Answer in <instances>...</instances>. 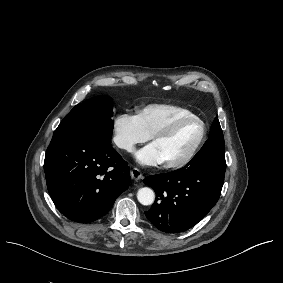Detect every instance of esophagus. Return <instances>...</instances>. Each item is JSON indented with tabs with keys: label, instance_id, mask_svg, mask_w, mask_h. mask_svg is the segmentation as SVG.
Returning a JSON list of instances; mask_svg holds the SVG:
<instances>
[{
	"label": "esophagus",
	"instance_id": "obj_1",
	"mask_svg": "<svg viewBox=\"0 0 283 283\" xmlns=\"http://www.w3.org/2000/svg\"><path fill=\"white\" fill-rule=\"evenodd\" d=\"M131 178H132L133 180H140V179L143 178V175H142V173H141V171H140L139 169L133 168V169L131 170Z\"/></svg>",
	"mask_w": 283,
	"mask_h": 283
}]
</instances>
